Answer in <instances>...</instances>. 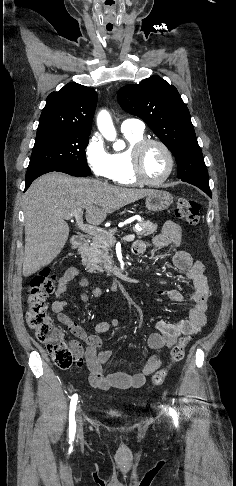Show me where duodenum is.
Segmentation results:
<instances>
[{"label":"duodenum","instance_id":"duodenum-1","mask_svg":"<svg viewBox=\"0 0 236 486\" xmlns=\"http://www.w3.org/2000/svg\"><path fill=\"white\" fill-rule=\"evenodd\" d=\"M88 240L83 235H76L72 238V248L75 251H82L87 247Z\"/></svg>","mask_w":236,"mask_h":486}]
</instances>
